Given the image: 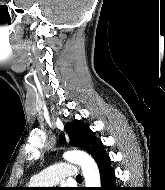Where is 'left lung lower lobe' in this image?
<instances>
[{"instance_id": "obj_1", "label": "left lung lower lobe", "mask_w": 165, "mask_h": 190, "mask_svg": "<svg viewBox=\"0 0 165 190\" xmlns=\"http://www.w3.org/2000/svg\"><path fill=\"white\" fill-rule=\"evenodd\" d=\"M110 158L106 155L104 158L97 162L100 177H101V188L98 190H116L117 187L114 185L115 173L110 167Z\"/></svg>"}]
</instances>
